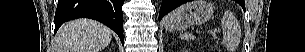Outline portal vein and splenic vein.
<instances>
[{
  "mask_svg": "<svg viewBox=\"0 0 305 52\" xmlns=\"http://www.w3.org/2000/svg\"><path fill=\"white\" fill-rule=\"evenodd\" d=\"M216 33H217L216 30H211V31H210V34L213 35V36L216 35Z\"/></svg>",
  "mask_w": 305,
  "mask_h": 52,
  "instance_id": "18ae733b",
  "label": "portal vein and splenic vein"
}]
</instances>
